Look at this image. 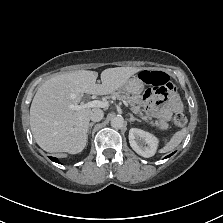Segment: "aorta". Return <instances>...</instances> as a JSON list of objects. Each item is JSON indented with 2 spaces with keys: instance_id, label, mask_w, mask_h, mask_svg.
<instances>
[{
  "instance_id": "762f6f07",
  "label": "aorta",
  "mask_w": 223,
  "mask_h": 223,
  "mask_svg": "<svg viewBox=\"0 0 223 223\" xmlns=\"http://www.w3.org/2000/svg\"><path fill=\"white\" fill-rule=\"evenodd\" d=\"M111 126L113 128H122L124 126V119L122 116L118 115L111 119Z\"/></svg>"
}]
</instances>
